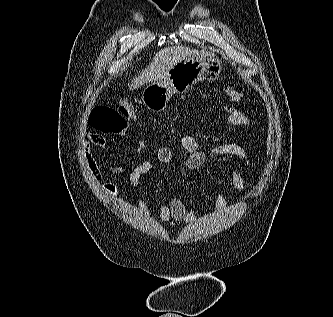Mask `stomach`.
<instances>
[{
	"label": "stomach",
	"instance_id": "stomach-1",
	"mask_svg": "<svg viewBox=\"0 0 333 317\" xmlns=\"http://www.w3.org/2000/svg\"><path fill=\"white\" fill-rule=\"evenodd\" d=\"M222 69L221 61L212 53L205 57H193L177 63L166 77L147 85L142 101L152 111H163L174 93H186L190 87L207 75H217Z\"/></svg>",
	"mask_w": 333,
	"mask_h": 317
}]
</instances>
